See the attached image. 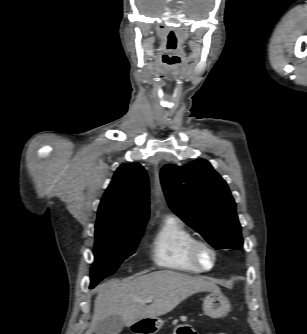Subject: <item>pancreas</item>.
I'll list each match as a JSON object with an SVG mask.
<instances>
[{"label":"pancreas","instance_id":"obj_1","mask_svg":"<svg viewBox=\"0 0 307 334\" xmlns=\"http://www.w3.org/2000/svg\"><path fill=\"white\" fill-rule=\"evenodd\" d=\"M180 320H181V321H187V317L182 316V317L180 318ZM177 322H178V320H175V321H174V324H176Z\"/></svg>","mask_w":307,"mask_h":334}]
</instances>
